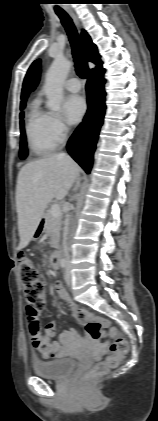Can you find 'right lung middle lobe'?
<instances>
[{"label":"right lung middle lobe","mask_w":158,"mask_h":421,"mask_svg":"<svg viewBox=\"0 0 158 421\" xmlns=\"http://www.w3.org/2000/svg\"><path fill=\"white\" fill-rule=\"evenodd\" d=\"M25 107V105H21L20 109L23 110ZM20 128H21V143H20V158L21 159H25L27 157V149H26V136H25V132H24V123H23V112H21L20 114Z\"/></svg>","instance_id":"right-lung-middle-lobe-1"}]
</instances>
